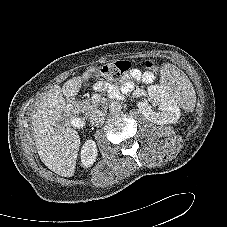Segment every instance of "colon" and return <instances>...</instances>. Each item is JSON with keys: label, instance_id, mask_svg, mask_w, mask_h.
<instances>
[{"label": "colon", "instance_id": "obj_1", "mask_svg": "<svg viewBox=\"0 0 227 227\" xmlns=\"http://www.w3.org/2000/svg\"><path fill=\"white\" fill-rule=\"evenodd\" d=\"M144 76L149 79L158 71V63L155 60L148 59L143 62ZM130 69V63L127 61H117L112 64L105 65L98 70L101 76L110 79H117Z\"/></svg>", "mask_w": 227, "mask_h": 227}]
</instances>
